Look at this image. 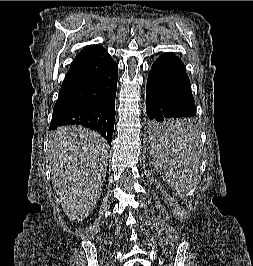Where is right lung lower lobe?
<instances>
[{
	"label": "right lung lower lobe",
	"mask_w": 253,
	"mask_h": 266,
	"mask_svg": "<svg viewBox=\"0 0 253 266\" xmlns=\"http://www.w3.org/2000/svg\"><path fill=\"white\" fill-rule=\"evenodd\" d=\"M118 67L102 47L71 64L53 109L50 129L81 125L99 132L111 146Z\"/></svg>",
	"instance_id": "obj_1"
}]
</instances>
